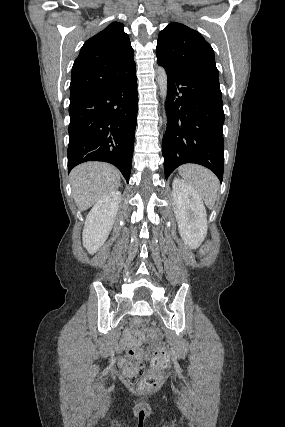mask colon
<instances>
[{
	"label": "colon",
	"instance_id": "obj_1",
	"mask_svg": "<svg viewBox=\"0 0 285 427\" xmlns=\"http://www.w3.org/2000/svg\"><path fill=\"white\" fill-rule=\"evenodd\" d=\"M210 245L205 244L200 254L206 256L209 252ZM144 320H138V323L143 322ZM127 355L130 357H137L138 353L134 350L129 349ZM170 363V355L168 351L164 348L158 347L154 350L150 370H147L142 362L133 361L132 362V374L129 379V383L132 387L150 391L155 389L159 385L158 373L165 369Z\"/></svg>",
	"mask_w": 285,
	"mask_h": 427
}]
</instances>
